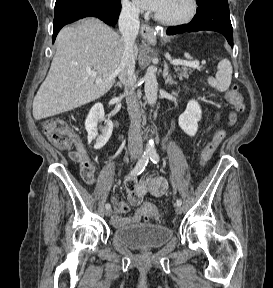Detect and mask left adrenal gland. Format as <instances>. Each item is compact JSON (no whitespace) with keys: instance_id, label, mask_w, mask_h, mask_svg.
<instances>
[{"instance_id":"obj_1","label":"left adrenal gland","mask_w":273,"mask_h":288,"mask_svg":"<svg viewBox=\"0 0 273 288\" xmlns=\"http://www.w3.org/2000/svg\"><path fill=\"white\" fill-rule=\"evenodd\" d=\"M169 68L168 65L165 63L164 65V71H163V78L165 79V84H176V82L172 79L171 75L169 74Z\"/></svg>"}]
</instances>
